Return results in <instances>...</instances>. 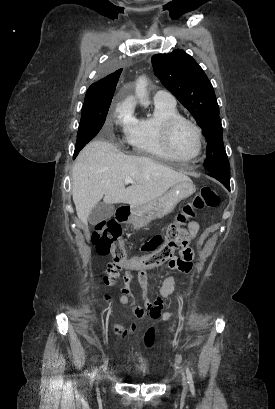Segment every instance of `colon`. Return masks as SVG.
Masks as SVG:
<instances>
[{"instance_id": "5ec220e1", "label": "colon", "mask_w": 275, "mask_h": 409, "mask_svg": "<svg viewBox=\"0 0 275 409\" xmlns=\"http://www.w3.org/2000/svg\"><path fill=\"white\" fill-rule=\"evenodd\" d=\"M219 204L220 199L215 190L211 187H203L192 202L183 206L176 219L165 227L163 233H157L144 242L142 249L148 252L145 256H124L125 246L120 239L122 226L113 219L96 225L91 242L99 251L114 255V261L107 263L106 273L108 275H115L117 270L124 267L134 268L137 273H141L143 269L156 270L159 266H164L168 258L173 257L176 250L181 247L186 229L196 212L218 207ZM100 323L105 325L102 320Z\"/></svg>"}]
</instances>
